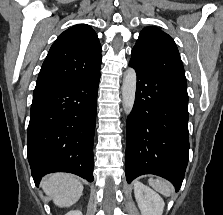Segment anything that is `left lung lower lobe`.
<instances>
[{"mask_svg": "<svg viewBox=\"0 0 223 215\" xmlns=\"http://www.w3.org/2000/svg\"><path fill=\"white\" fill-rule=\"evenodd\" d=\"M136 74L135 103L127 119V182L154 174L178 191L189 159L187 88L146 72Z\"/></svg>", "mask_w": 223, "mask_h": 215, "instance_id": "left-lung-lower-lobe-1", "label": "left lung lower lobe"}]
</instances>
